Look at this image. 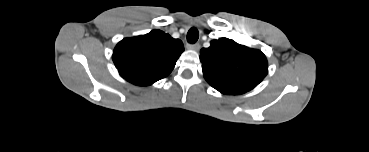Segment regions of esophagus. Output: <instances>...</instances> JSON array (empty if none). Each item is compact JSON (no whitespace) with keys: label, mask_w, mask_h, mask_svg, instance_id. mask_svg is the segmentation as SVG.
I'll list each match as a JSON object with an SVG mask.
<instances>
[{"label":"esophagus","mask_w":369,"mask_h":152,"mask_svg":"<svg viewBox=\"0 0 369 152\" xmlns=\"http://www.w3.org/2000/svg\"><path fill=\"white\" fill-rule=\"evenodd\" d=\"M187 48L190 50L198 51L200 49V44L199 43L188 44Z\"/></svg>","instance_id":"obj_1"}]
</instances>
